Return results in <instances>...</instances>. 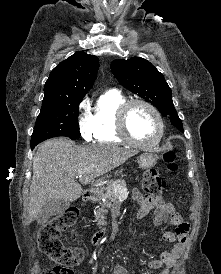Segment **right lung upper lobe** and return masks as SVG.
<instances>
[{"mask_svg":"<svg viewBox=\"0 0 221 274\" xmlns=\"http://www.w3.org/2000/svg\"><path fill=\"white\" fill-rule=\"evenodd\" d=\"M98 68L96 56L76 52L51 71L43 100L83 98L93 86Z\"/></svg>","mask_w":221,"mask_h":274,"instance_id":"right-lung-upper-lobe-1","label":"right lung upper lobe"}]
</instances>
